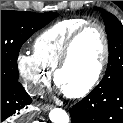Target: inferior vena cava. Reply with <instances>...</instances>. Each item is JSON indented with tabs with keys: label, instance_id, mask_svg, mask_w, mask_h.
<instances>
[{
	"label": "inferior vena cava",
	"instance_id": "obj_1",
	"mask_svg": "<svg viewBox=\"0 0 123 123\" xmlns=\"http://www.w3.org/2000/svg\"><path fill=\"white\" fill-rule=\"evenodd\" d=\"M25 89L31 96H36L43 93V88L40 85H34L32 83L26 84Z\"/></svg>",
	"mask_w": 123,
	"mask_h": 123
}]
</instances>
